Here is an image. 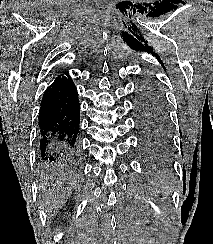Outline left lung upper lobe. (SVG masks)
I'll return each mask as SVG.
<instances>
[{
	"label": "left lung upper lobe",
	"mask_w": 213,
	"mask_h": 244,
	"mask_svg": "<svg viewBox=\"0 0 213 244\" xmlns=\"http://www.w3.org/2000/svg\"><path fill=\"white\" fill-rule=\"evenodd\" d=\"M136 106L137 116L147 122L159 136L166 138L170 126L167 106L154 80L145 79L139 85Z\"/></svg>",
	"instance_id": "obj_1"
}]
</instances>
